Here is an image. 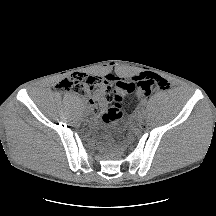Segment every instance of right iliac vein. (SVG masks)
Wrapping results in <instances>:
<instances>
[{"label":"right iliac vein","instance_id":"right-iliac-vein-1","mask_svg":"<svg viewBox=\"0 0 216 216\" xmlns=\"http://www.w3.org/2000/svg\"><path fill=\"white\" fill-rule=\"evenodd\" d=\"M84 115L85 116H88L89 115V110L87 109V110H84Z\"/></svg>","mask_w":216,"mask_h":216}]
</instances>
